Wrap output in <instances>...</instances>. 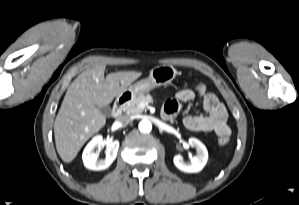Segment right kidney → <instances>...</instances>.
I'll return each mask as SVG.
<instances>
[{"instance_id":"right-kidney-1","label":"right kidney","mask_w":299,"mask_h":205,"mask_svg":"<svg viewBox=\"0 0 299 205\" xmlns=\"http://www.w3.org/2000/svg\"><path fill=\"white\" fill-rule=\"evenodd\" d=\"M102 143L103 137L97 135L86 145L82 154L83 163L86 168L96 171L104 170L116 159L119 141L115 140L107 146L105 159H98L99 156L95 150L101 147Z\"/></svg>"}]
</instances>
